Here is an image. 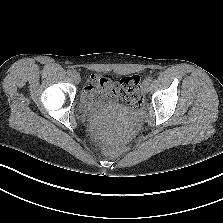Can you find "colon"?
<instances>
[{"label":"colon","mask_w":223,"mask_h":223,"mask_svg":"<svg viewBox=\"0 0 223 223\" xmlns=\"http://www.w3.org/2000/svg\"><path fill=\"white\" fill-rule=\"evenodd\" d=\"M118 90L121 93V99L132 110H138L142 104V95L140 89V78L137 75H132L121 79L116 83ZM102 152L105 155H114L115 148L103 146Z\"/></svg>","instance_id":"1"}]
</instances>
